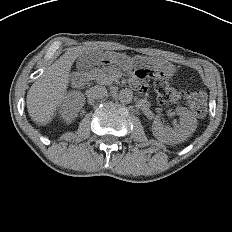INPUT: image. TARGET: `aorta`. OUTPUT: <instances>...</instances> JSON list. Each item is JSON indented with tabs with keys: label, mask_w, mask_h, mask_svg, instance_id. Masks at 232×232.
Masks as SVG:
<instances>
[{
	"label": "aorta",
	"mask_w": 232,
	"mask_h": 232,
	"mask_svg": "<svg viewBox=\"0 0 232 232\" xmlns=\"http://www.w3.org/2000/svg\"><path fill=\"white\" fill-rule=\"evenodd\" d=\"M120 100L123 103H129L133 98V91L131 89L125 88L120 91L119 94Z\"/></svg>",
	"instance_id": "762f6f07"
}]
</instances>
